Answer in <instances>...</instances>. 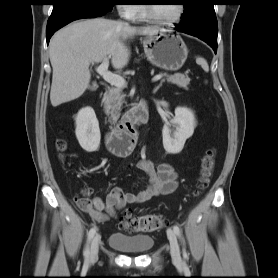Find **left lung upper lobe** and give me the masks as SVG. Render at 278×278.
Returning <instances> with one entry per match:
<instances>
[{
    "instance_id": "left-lung-upper-lobe-1",
    "label": "left lung upper lobe",
    "mask_w": 278,
    "mask_h": 278,
    "mask_svg": "<svg viewBox=\"0 0 278 278\" xmlns=\"http://www.w3.org/2000/svg\"><path fill=\"white\" fill-rule=\"evenodd\" d=\"M183 2L185 8L181 17L183 23L204 18L215 30H218L214 0H183Z\"/></svg>"
}]
</instances>
